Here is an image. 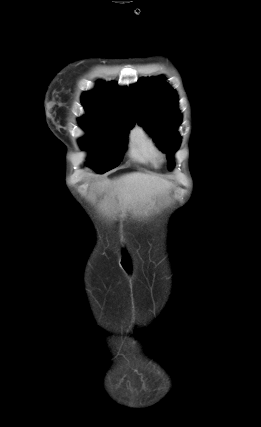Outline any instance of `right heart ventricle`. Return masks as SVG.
Here are the masks:
<instances>
[{
    "mask_svg": "<svg viewBox=\"0 0 261 427\" xmlns=\"http://www.w3.org/2000/svg\"><path fill=\"white\" fill-rule=\"evenodd\" d=\"M158 148L153 136L141 125L132 128L127 136V156L140 165L156 168L159 164Z\"/></svg>",
    "mask_w": 261,
    "mask_h": 427,
    "instance_id": "1",
    "label": "right heart ventricle"
}]
</instances>
